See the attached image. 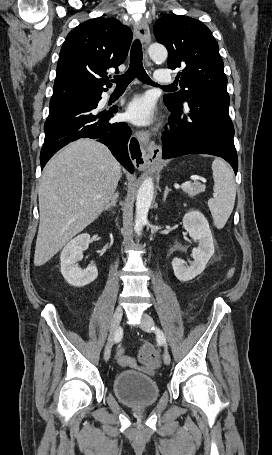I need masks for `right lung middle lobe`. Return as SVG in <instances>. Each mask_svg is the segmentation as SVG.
<instances>
[{
	"instance_id": "right-lung-middle-lobe-1",
	"label": "right lung middle lobe",
	"mask_w": 272,
	"mask_h": 455,
	"mask_svg": "<svg viewBox=\"0 0 272 455\" xmlns=\"http://www.w3.org/2000/svg\"><path fill=\"white\" fill-rule=\"evenodd\" d=\"M100 96V95H99ZM99 96H90V97H82V98H75L71 100L61 101V102H53L49 104V111H55L62 107L66 106H87L97 101Z\"/></svg>"
}]
</instances>
